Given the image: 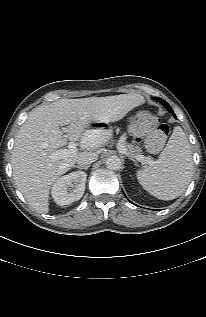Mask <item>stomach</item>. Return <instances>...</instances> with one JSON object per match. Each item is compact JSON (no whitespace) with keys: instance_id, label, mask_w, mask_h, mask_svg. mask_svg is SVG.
I'll use <instances>...</instances> for the list:
<instances>
[{"instance_id":"stomach-1","label":"stomach","mask_w":206,"mask_h":317,"mask_svg":"<svg viewBox=\"0 0 206 317\" xmlns=\"http://www.w3.org/2000/svg\"><path fill=\"white\" fill-rule=\"evenodd\" d=\"M124 128L131 134L127 138V142L137 148H140L144 143V138L148 133L146 124H142L135 114H128L124 118ZM114 130L110 124L101 121H91L83 130L81 141L85 147H96L100 141L107 142L113 138Z\"/></svg>"}]
</instances>
